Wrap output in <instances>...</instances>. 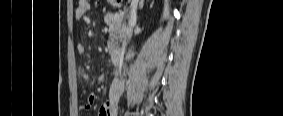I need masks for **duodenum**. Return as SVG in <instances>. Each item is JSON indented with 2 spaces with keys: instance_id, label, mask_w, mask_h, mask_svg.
Wrapping results in <instances>:
<instances>
[{
  "instance_id": "1",
  "label": "duodenum",
  "mask_w": 283,
  "mask_h": 116,
  "mask_svg": "<svg viewBox=\"0 0 283 116\" xmlns=\"http://www.w3.org/2000/svg\"><path fill=\"white\" fill-rule=\"evenodd\" d=\"M111 58H112V62L115 65L119 66L123 61V53L119 50H115L112 52ZM121 84L122 81L120 77L116 76L112 81V85H111L112 90L119 89L121 87Z\"/></svg>"
}]
</instances>
